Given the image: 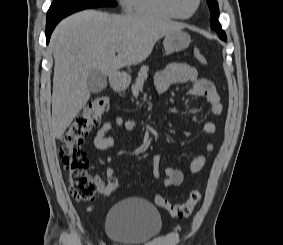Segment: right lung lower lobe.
I'll use <instances>...</instances> for the list:
<instances>
[{"label": "right lung lower lobe", "mask_w": 283, "mask_h": 245, "mask_svg": "<svg viewBox=\"0 0 283 245\" xmlns=\"http://www.w3.org/2000/svg\"><path fill=\"white\" fill-rule=\"evenodd\" d=\"M60 20L61 19H57V20H54V21L46 22V41H47V43L50 40V36L52 34V31L54 30L55 26L58 24V22Z\"/></svg>", "instance_id": "obj_1"}]
</instances>
